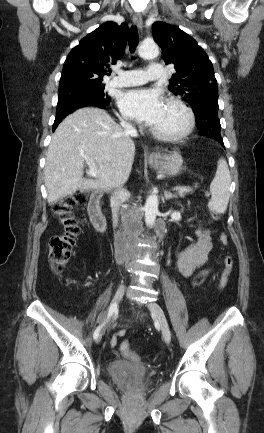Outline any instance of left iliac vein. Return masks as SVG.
Returning a JSON list of instances; mask_svg holds the SVG:
<instances>
[{"label": "left iliac vein", "instance_id": "1", "mask_svg": "<svg viewBox=\"0 0 264 433\" xmlns=\"http://www.w3.org/2000/svg\"><path fill=\"white\" fill-rule=\"evenodd\" d=\"M147 307L155 320L159 323L165 342L169 344L171 341V332L162 308L155 302L149 303Z\"/></svg>", "mask_w": 264, "mask_h": 433}]
</instances>
